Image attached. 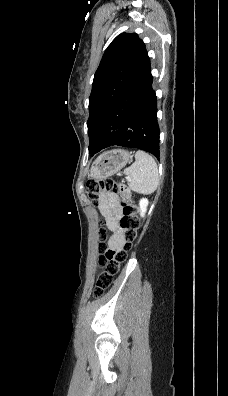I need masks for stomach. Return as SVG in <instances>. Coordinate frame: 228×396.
I'll return each instance as SVG.
<instances>
[{"label": "stomach", "instance_id": "obj_1", "mask_svg": "<svg viewBox=\"0 0 228 396\" xmlns=\"http://www.w3.org/2000/svg\"><path fill=\"white\" fill-rule=\"evenodd\" d=\"M131 157V153L123 149L105 152L94 161L90 176L98 180L112 176L129 163Z\"/></svg>", "mask_w": 228, "mask_h": 396}]
</instances>
